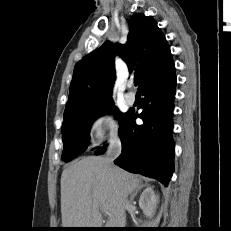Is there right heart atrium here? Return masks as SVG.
<instances>
[{
	"mask_svg": "<svg viewBox=\"0 0 231 231\" xmlns=\"http://www.w3.org/2000/svg\"><path fill=\"white\" fill-rule=\"evenodd\" d=\"M88 136L95 144H100L108 138H118V127L113 114L103 111L95 115L89 123Z\"/></svg>",
	"mask_w": 231,
	"mask_h": 231,
	"instance_id": "1",
	"label": "right heart atrium"
}]
</instances>
